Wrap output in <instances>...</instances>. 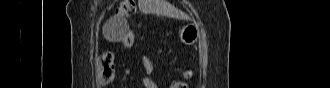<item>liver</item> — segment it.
I'll list each match as a JSON object with an SVG mask.
<instances>
[{"mask_svg": "<svg viewBox=\"0 0 330 88\" xmlns=\"http://www.w3.org/2000/svg\"><path fill=\"white\" fill-rule=\"evenodd\" d=\"M138 7L144 13H162L171 16L173 15L169 9V5H167L165 1L138 0Z\"/></svg>", "mask_w": 330, "mask_h": 88, "instance_id": "obj_1", "label": "liver"}]
</instances>
